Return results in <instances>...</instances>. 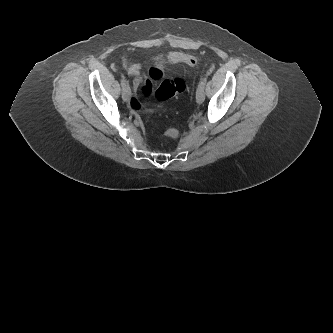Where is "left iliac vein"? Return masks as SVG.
Returning a JSON list of instances; mask_svg holds the SVG:
<instances>
[{
    "label": "left iliac vein",
    "mask_w": 333,
    "mask_h": 333,
    "mask_svg": "<svg viewBox=\"0 0 333 333\" xmlns=\"http://www.w3.org/2000/svg\"><path fill=\"white\" fill-rule=\"evenodd\" d=\"M205 100V92H204V88L198 86V89L196 91V101L198 104L203 103Z\"/></svg>",
    "instance_id": "4c4485c4"
}]
</instances>
